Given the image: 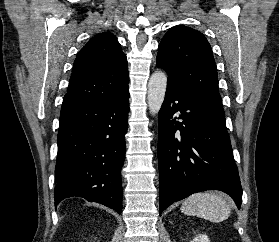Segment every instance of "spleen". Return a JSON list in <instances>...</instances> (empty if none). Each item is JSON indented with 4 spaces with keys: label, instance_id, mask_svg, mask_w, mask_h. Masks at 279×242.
I'll return each instance as SVG.
<instances>
[{
    "label": "spleen",
    "instance_id": "3e777b00",
    "mask_svg": "<svg viewBox=\"0 0 279 242\" xmlns=\"http://www.w3.org/2000/svg\"><path fill=\"white\" fill-rule=\"evenodd\" d=\"M181 211L196 215L212 222L226 220L231 209L222 196L213 192H199L189 196L182 204Z\"/></svg>",
    "mask_w": 279,
    "mask_h": 242
}]
</instances>
